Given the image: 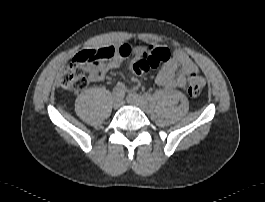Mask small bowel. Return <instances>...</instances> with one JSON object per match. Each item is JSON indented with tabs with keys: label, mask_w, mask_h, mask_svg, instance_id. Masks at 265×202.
Instances as JSON below:
<instances>
[{
	"label": "small bowel",
	"mask_w": 265,
	"mask_h": 202,
	"mask_svg": "<svg viewBox=\"0 0 265 202\" xmlns=\"http://www.w3.org/2000/svg\"><path fill=\"white\" fill-rule=\"evenodd\" d=\"M105 48L111 49L114 55L113 57L100 60H107L106 63H101L97 67L92 66L87 69L90 82L101 81L107 72L120 68L124 59L134 53L140 54L144 50L143 47H136L131 43H121ZM197 72L198 67L196 63L185 52L174 50L171 59L159 70L156 82L162 87L184 88L187 84L189 75ZM139 87L140 83L135 81L132 89L137 90ZM115 88L125 91V85L122 82L116 83Z\"/></svg>",
	"instance_id": "1"
}]
</instances>
